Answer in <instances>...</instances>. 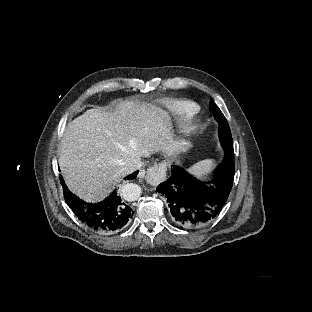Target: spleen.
Wrapping results in <instances>:
<instances>
[{
    "label": "spleen",
    "instance_id": "obj_1",
    "mask_svg": "<svg viewBox=\"0 0 312 312\" xmlns=\"http://www.w3.org/2000/svg\"><path fill=\"white\" fill-rule=\"evenodd\" d=\"M216 163L213 159H205L192 165L187 171L196 178L205 180L215 169Z\"/></svg>",
    "mask_w": 312,
    "mask_h": 312
}]
</instances>
